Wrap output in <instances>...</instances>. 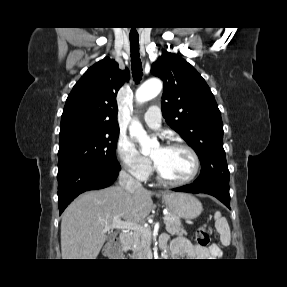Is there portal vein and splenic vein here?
<instances>
[{"instance_id":"18ae733b","label":"portal vein and splenic vein","mask_w":287,"mask_h":287,"mask_svg":"<svg viewBox=\"0 0 287 287\" xmlns=\"http://www.w3.org/2000/svg\"><path fill=\"white\" fill-rule=\"evenodd\" d=\"M168 217L164 216L163 220H167ZM112 228H116V229H128V230H132L134 232H141L144 234H148L151 235V230L148 229L145 226L136 224V223H132V222H126V221H122L119 217H115L113 219L112 224L110 225H106L105 226V230L108 231Z\"/></svg>"}]
</instances>
